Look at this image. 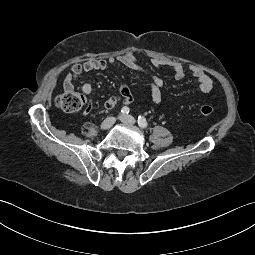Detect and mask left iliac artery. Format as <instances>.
Instances as JSON below:
<instances>
[{
	"label": "left iliac artery",
	"instance_id": "obj_1",
	"mask_svg": "<svg viewBox=\"0 0 255 255\" xmlns=\"http://www.w3.org/2000/svg\"><path fill=\"white\" fill-rule=\"evenodd\" d=\"M138 124L142 128H146L148 125L146 119L143 116L138 117Z\"/></svg>",
	"mask_w": 255,
	"mask_h": 255
}]
</instances>
